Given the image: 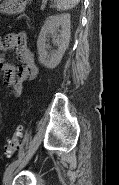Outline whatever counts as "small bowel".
<instances>
[{
	"instance_id": "obj_1",
	"label": "small bowel",
	"mask_w": 119,
	"mask_h": 185,
	"mask_svg": "<svg viewBox=\"0 0 119 185\" xmlns=\"http://www.w3.org/2000/svg\"><path fill=\"white\" fill-rule=\"evenodd\" d=\"M12 50H15L20 63L18 67L5 61V55ZM0 55V70L3 83L11 88L13 95L19 96L23 91L24 83L33 80L38 73L33 54L27 46L26 33L15 32L7 34L1 43Z\"/></svg>"
}]
</instances>
